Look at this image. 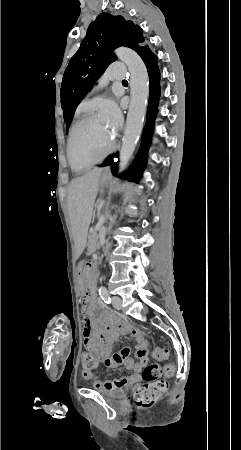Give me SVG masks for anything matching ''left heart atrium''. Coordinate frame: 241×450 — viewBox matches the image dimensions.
<instances>
[{
  "instance_id": "left-heart-atrium-1",
  "label": "left heart atrium",
  "mask_w": 241,
  "mask_h": 450,
  "mask_svg": "<svg viewBox=\"0 0 241 450\" xmlns=\"http://www.w3.org/2000/svg\"><path fill=\"white\" fill-rule=\"evenodd\" d=\"M107 112L110 115V122L114 128L121 126L122 119L119 110L112 104L107 105Z\"/></svg>"
}]
</instances>
